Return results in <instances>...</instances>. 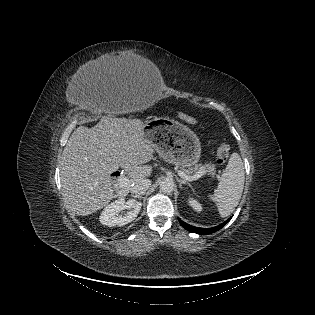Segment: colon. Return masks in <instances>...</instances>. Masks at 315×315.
<instances>
[{"mask_svg":"<svg viewBox=\"0 0 315 315\" xmlns=\"http://www.w3.org/2000/svg\"><path fill=\"white\" fill-rule=\"evenodd\" d=\"M179 117H180V119H182L183 121H185L189 124H196L197 123L196 119L189 114L180 113ZM229 155H230L229 146L226 143H221L218 146L217 151H216V162L218 164H224L228 160Z\"/></svg>","mask_w":315,"mask_h":315,"instance_id":"1","label":"colon"}]
</instances>
